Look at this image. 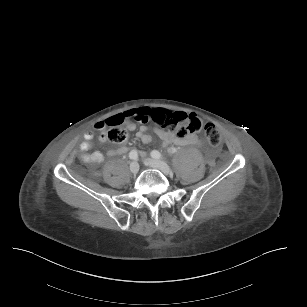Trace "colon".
<instances>
[{
    "label": "colon",
    "instance_id": "colon-1",
    "mask_svg": "<svg viewBox=\"0 0 307 307\" xmlns=\"http://www.w3.org/2000/svg\"><path fill=\"white\" fill-rule=\"evenodd\" d=\"M148 117L164 133L175 132L183 137L192 135L202 129L201 120L192 114L154 110L149 113ZM122 123L123 119H108L98 124V130L109 142L120 144L127 137V129L120 127ZM203 132L212 147L220 146L221 135L213 124H205Z\"/></svg>",
    "mask_w": 307,
    "mask_h": 307
}]
</instances>
